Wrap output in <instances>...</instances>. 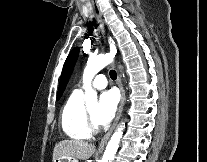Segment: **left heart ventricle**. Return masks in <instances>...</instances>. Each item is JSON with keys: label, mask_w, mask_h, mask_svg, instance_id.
<instances>
[{"label": "left heart ventricle", "mask_w": 207, "mask_h": 162, "mask_svg": "<svg viewBox=\"0 0 207 162\" xmlns=\"http://www.w3.org/2000/svg\"><path fill=\"white\" fill-rule=\"evenodd\" d=\"M97 105H93L91 107L88 108V111L90 112L91 116L93 117V119L96 121V113H97ZM97 122V121H96Z\"/></svg>", "instance_id": "b2bd125f"}]
</instances>
